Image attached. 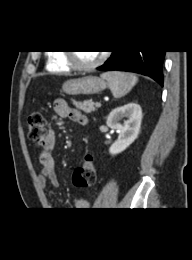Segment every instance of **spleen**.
Returning a JSON list of instances; mask_svg holds the SVG:
<instances>
[{"mask_svg": "<svg viewBox=\"0 0 192 260\" xmlns=\"http://www.w3.org/2000/svg\"><path fill=\"white\" fill-rule=\"evenodd\" d=\"M116 99L125 96L138 82V77L132 73L110 71L101 74Z\"/></svg>", "mask_w": 192, "mask_h": 260, "instance_id": "spleen-1", "label": "spleen"}]
</instances>
